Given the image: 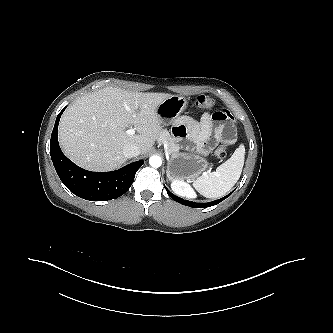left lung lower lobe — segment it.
I'll list each match as a JSON object with an SVG mask.
<instances>
[{
	"mask_svg": "<svg viewBox=\"0 0 333 333\" xmlns=\"http://www.w3.org/2000/svg\"><path fill=\"white\" fill-rule=\"evenodd\" d=\"M168 195L174 199L175 201L183 204V205H186V206H189V207H194V208H206V207H211V206H214L218 203H220L221 201L225 200L228 196H230L233 191L228 194L227 196L221 198V199H218V200H215V201H212V202H208V203H196V202H192V201H188V200H184L182 198H179L177 196H175L174 194H172L166 187H165Z\"/></svg>",
	"mask_w": 333,
	"mask_h": 333,
	"instance_id": "0a47b994",
	"label": "left lung lower lobe"
}]
</instances>
